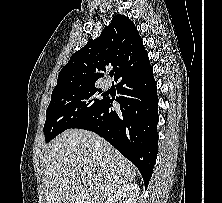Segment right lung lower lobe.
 I'll use <instances>...</instances> for the list:
<instances>
[{
  "mask_svg": "<svg viewBox=\"0 0 222 203\" xmlns=\"http://www.w3.org/2000/svg\"><path fill=\"white\" fill-rule=\"evenodd\" d=\"M116 101L110 98L71 128L90 130L113 145L140 171L145 188L151 178L158 149V97L149 60L121 74Z\"/></svg>",
  "mask_w": 222,
  "mask_h": 203,
  "instance_id": "1",
  "label": "right lung lower lobe"
}]
</instances>
